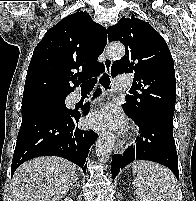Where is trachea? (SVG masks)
I'll use <instances>...</instances> for the list:
<instances>
[{
  "label": "trachea",
  "mask_w": 196,
  "mask_h": 201,
  "mask_svg": "<svg viewBox=\"0 0 196 201\" xmlns=\"http://www.w3.org/2000/svg\"><path fill=\"white\" fill-rule=\"evenodd\" d=\"M100 82L105 89H108L110 86V78L107 74H103L100 78ZM97 83L96 78L89 79L82 83L81 89L82 90H92Z\"/></svg>",
  "instance_id": "1"
}]
</instances>
